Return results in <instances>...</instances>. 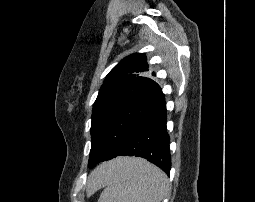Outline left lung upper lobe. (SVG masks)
Instances as JSON below:
<instances>
[{
	"mask_svg": "<svg viewBox=\"0 0 255 202\" xmlns=\"http://www.w3.org/2000/svg\"><path fill=\"white\" fill-rule=\"evenodd\" d=\"M144 53L120 61L106 76L93 105L89 167L112 159L144 119L160 106L164 94L152 79Z\"/></svg>",
	"mask_w": 255,
	"mask_h": 202,
	"instance_id": "5c2ea615",
	"label": "left lung upper lobe"
}]
</instances>
